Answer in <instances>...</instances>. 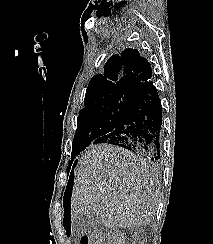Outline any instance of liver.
Wrapping results in <instances>:
<instances>
[{
  "instance_id": "1",
  "label": "liver",
  "mask_w": 213,
  "mask_h": 244,
  "mask_svg": "<svg viewBox=\"0 0 213 244\" xmlns=\"http://www.w3.org/2000/svg\"><path fill=\"white\" fill-rule=\"evenodd\" d=\"M160 185L151 167L120 147L91 146L76 171L70 205L74 222L94 212L109 228H134L154 219Z\"/></svg>"
}]
</instances>
